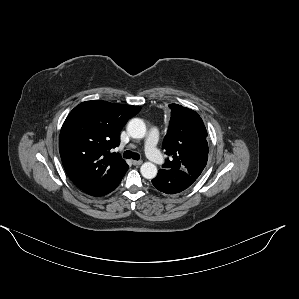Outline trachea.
<instances>
[{"mask_svg":"<svg viewBox=\"0 0 299 299\" xmlns=\"http://www.w3.org/2000/svg\"><path fill=\"white\" fill-rule=\"evenodd\" d=\"M123 157L124 158H127V159H134V160H139L140 159V155L138 153H135V152H132V151H125L124 154H123Z\"/></svg>","mask_w":299,"mask_h":299,"instance_id":"3493384b","label":"trachea"}]
</instances>
